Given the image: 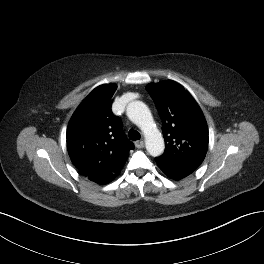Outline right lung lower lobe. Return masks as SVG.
Returning a JSON list of instances; mask_svg holds the SVG:
<instances>
[{"instance_id":"98d812e1","label":"right lung lower lobe","mask_w":264,"mask_h":264,"mask_svg":"<svg viewBox=\"0 0 264 264\" xmlns=\"http://www.w3.org/2000/svg\"><path fill=\"white\" fill-rule=\"evenodd\" d=\"M119 173L113 175H105L104 173H101L97 170L81 172L83 176L98 184H107L111 182L114 178H116L119 175Z\"/></svg>"}]
</instances>
